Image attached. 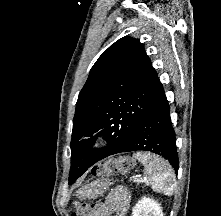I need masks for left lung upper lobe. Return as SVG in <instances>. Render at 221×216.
Masks as SVG:
<instances>
[{
	"label": "left lung upper lobe",
	"instance_id": "1",
	"mask_svg": "<svg viewBox=\"0 0 221 216\" xmlns=\"http://www.w3.org/2000/svg\"><path fill=\"white\" fill-rule=\"evenodd\" d=\"M156 84L157 73L136 39L123 37L98 58L76 104L69 183L81 171V155L95 132L114 150L129 142L153 103Z\"/></svg>",
	"mask_w": 221,
	"mask_h": 216
}]
</instances>
